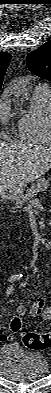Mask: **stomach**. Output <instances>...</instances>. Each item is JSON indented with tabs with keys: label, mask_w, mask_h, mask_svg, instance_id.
I'll return each instance as SVG.
<instances>
[{
	"label": "stomach",
	"mask_w": 51,
	"mask_h": 393,
	"mask_svg": "<svg viewBox=\"0 0 51 393\" xmlns=\"http://www.w3.org/2000/svg\"><path fill=\"white\" fill-rule=\"evenodd\" d=\"M24 190H25V188L22 189V190L17 189L15 192L10 193V198L11 199H16L17 197H19V196L24 194Z\"/></svg>",
	"instance_id": "1"
}]
</instances>
